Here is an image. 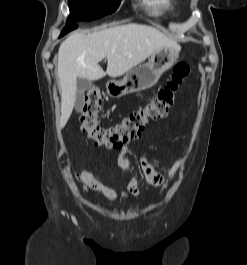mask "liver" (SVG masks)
Segmentation results:
<instances>
[{
    "mask_svg": "<svg viewBox=\"0 0 247 265\" xmlns=\"http://www.w3.org/2000/svg\"><path fill=\"white\" fill-rule=\"evenodd\" d=\"M163 47L180 48L159 30L141 24L118 25L88 35L75 32L63 41L58 51L60 79V127L67 123L74 107L77 79L99 80L106 74L119 77ZM107 58L106 72L99 62Z\"/></svg>",
    "mask_w": 247,
    "mask_h": 265,
    "instance_id": "obj_1",
    "label": "liver"
}]
</instances>
